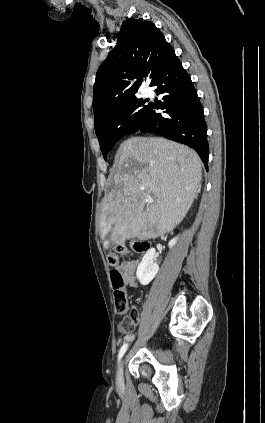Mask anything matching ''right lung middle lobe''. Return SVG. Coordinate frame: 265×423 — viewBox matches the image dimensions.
<instances>
[{
  "mask_svg": "<svg viewBox=\"0 0 265 423\" xmlns=\"http://www.w3.org/2000/svg\"><path fill=\"white\" fill-rule=\"evenodd\" d=\"M146 102L136 96L130 97L95 123V133L105 160L116 142L143 118L150 107Z\"/></svg>",
  "mask_w": 265,
  "mask_h": 423,
  "instance_id": "dd1d6c3e",
  "label": "right lung middle lobe"
}]
</instances>
